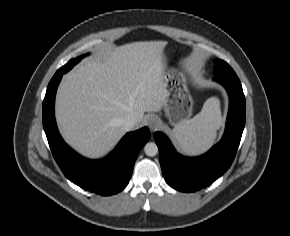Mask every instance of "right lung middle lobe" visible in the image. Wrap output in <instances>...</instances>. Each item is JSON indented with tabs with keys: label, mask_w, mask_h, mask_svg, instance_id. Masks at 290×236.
<instances>
[{
	"label": "right lung middle lobe",
	"mask_w": 290,
	"mask_h": 236,
	"mask_svg": "<svg viewBox=\"0 0 290 236\" xmlns=\"http://www.w3.org/2000/svg\"><path fill=\"white\" fill-rule=\"evenodd\" d=\"M83 56H80L76 59L70 60L66 65L60 68L57 72L58 73H66L68 72L75 64H77Z\"/></svg>",
	"instance_id": "obj_1"
}]
</instances>
